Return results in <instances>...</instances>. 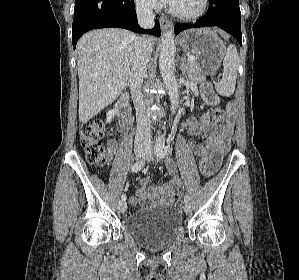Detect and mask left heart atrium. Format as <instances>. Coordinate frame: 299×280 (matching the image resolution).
<instances>
[{
  "label": "left heart atrium",
  "mask_w": 299,
  "mask_h": 280,
  "mask_svg": "<svg viewBox=\"0 0 299 280\" xmlns=\"http://www.w3.org/2000/svg\"><path fill=\"white\" fill-rule=\"evenodd\" d=\"M166 2H168L169 4H171L174 0H164Z\"/></svg>",
  "instance_id": "1"
}]
</instances>
